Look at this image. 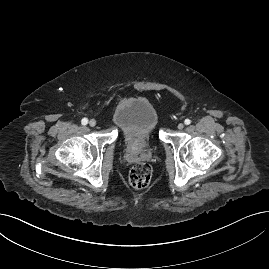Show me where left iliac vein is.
I'll return each mask as SVG.
<instances>
[{
	"instance_id": "1",
	"label": "left iliac vein",
	"mask_w": 269,
	"mask_h": 269,
	"mask_svg": "<svg viewBox=\"0 0 269 269\" xmlns=\"http://www.w3.org/2000/svg\"><path fill=\"white\" fill-rule=\"evenodd\" d=\"M177 128L179 130H182L184 128V124L183 123H179L178 126H177Z\"/></svg>"
}]
</instances>
